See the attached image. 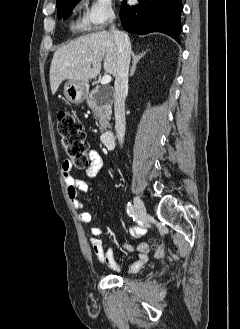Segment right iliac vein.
I'll return each mask as SVG.
<instances>
[{
	"label": "right iliac vein",
	"instance_id": "1",
	"mask_svg": "<svg viewBox=\"0 0 240 329\" xmlns=\"http://www.w3.org/2000/svg\"><path fill=\"white\" fill-rule=\"evenodd\" d=\"M134 209L136 218L143 221L147 216V212L143 201L139 197H135L134 199Z\"/></svg>",
	"mask_w": 240,
	"mask_h": 329
}]
</instances>
